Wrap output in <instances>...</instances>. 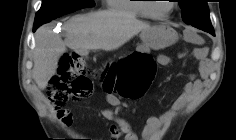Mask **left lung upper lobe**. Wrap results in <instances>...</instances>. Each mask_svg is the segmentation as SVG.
<instances>
[{
	"instance_id": "5c2ea615",
	"label": "left lung upper lobe",
	"mask_w": 236,
	"mask_h": 140,
	"mask_svg": "<svg viewBox=\"0 0 236 140\" xmlns=\"http://www.w3.org/2000/svg\"><path fill=\"white\" fill-rule=\"evenodd\" d=\"M178 2L182 9V19L186 24L215 35L209 17L207 0H178Z\"/></svg>"
}]
</instances>
